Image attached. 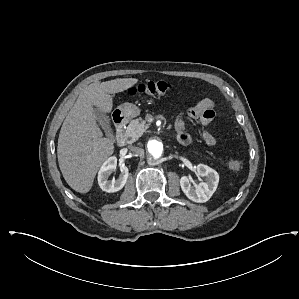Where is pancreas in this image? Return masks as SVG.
<instances>
[{
	"mask_svg": "<svg viewBox=\"0 0 299 299\" xmlns=\"http://www.w3.org/2000/svg\"><path fill=\"white\" fill-rule=\"evenodd\" d=\"M146 128L147 124L143 119L132 120L123 133V136L128 143H133L145 132Z\"/></svg>",
	"mask_w": 299,
	"mask_h": 299,
	"instance_id": "1",
	"label": "pancreas"
}]
</instances>
